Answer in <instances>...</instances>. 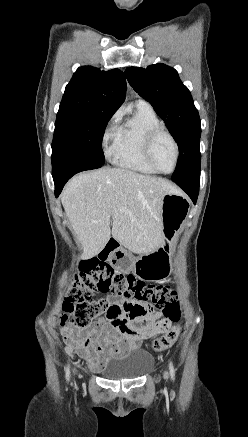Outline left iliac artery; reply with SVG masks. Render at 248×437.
I'll list each match as a JSON object with an SVG mask.
<instances>
[{
  "instance_id": "obj_1",
  "label": "left iliac artery",
  "mask_w": 248,
  "mask_h": 437,
  "mask_svg": "<svg viewBox=\"0 0 248 437\" xmlns=\"http://www.w3.org/2000/svg\"><path fill=\"white\" fill-rule=\"evenodd\" d=\"M169 369H170L171 378L174 380L175 370H174L172 362H170V364H169Z\"/></svg>"
}]
</instances>
